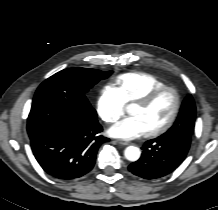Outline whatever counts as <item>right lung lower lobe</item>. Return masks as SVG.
<instances>
[{
    "label": "right lung lower lobe",
    "instance_id": "obj_1",
    "mask_svg": "<svg viewBox=\"0 0 218 210\" xmlns=\"http://www.w3.org/2000/svg\"><path fill=\"white\" fill-rule=\"evenodd\" d=\"M101 131L96 111L53 100L33 103L27 119L36 160L62 180L79 178L93 168L98 148L109 140Z\"/></svg>",
    "mask_w": 218,
    "mask_h": 210
}]
</instances>
